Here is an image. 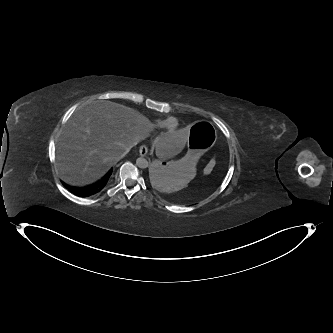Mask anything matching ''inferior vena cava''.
Listing matches in <instances>:
<instances>
[{"instance_id":"obj_1","label":"inferior vena cava","mask_w":333,"mask_h":333,"mask_svg":"<svg viewBox=\"0 0 333 333\" xmlns=\"http://www.w3.org/2000/svg\"><path fill=\"white\" fill-rule=\"evenodd\" d=\"M128 152L129 150H126L119 159L123 158Z\"/></svg>"}]
</instances>
